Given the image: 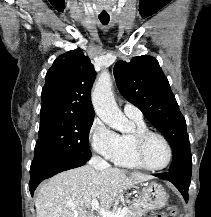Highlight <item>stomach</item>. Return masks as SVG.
<instances>
[{
	"mask_svg": "<svg viewBox=\"0 0 211 217\" xmlns=\"http://www.w3.org/2000/svg\"><path fill=\"white\" fill-rule=\"evenodd\" d=\"M141 208L142 214L147 211L157 210L164 207L168 195L162 185L155 182L142 184Z\"/></svg>",
	"mask_w": 211,
	"mask_h": 217,
	"instance_id": "1",
	"label": "stomach"
}]
</instances>
